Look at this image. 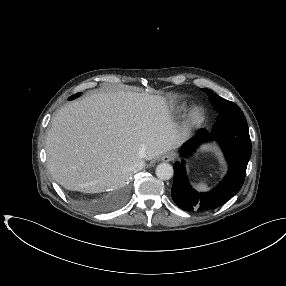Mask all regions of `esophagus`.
I'll list each match as a JSON object with an SVG mask.
<instances>
[{"label": "esophagus", "mask_w": 286, "mask_h": 286, "mask_svg": "<svg viewBox=\"0 0 286 286\" xmlns=\"http://www.w3.org/2000/svg\"><path fill=\"white\" fill-rule=\"evenodd\" d=\"M174 159V156L172 154H165L161 157V161L163 162H170Z\"/></svg>", "instance_id": "34e87169"}]
</instances>
